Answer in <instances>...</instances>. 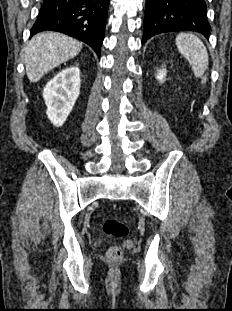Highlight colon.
<instances>
[{"instance_id":"obj_1","label":"colon","mask_w":232,"mask_h":311,"mask_svg":"<svg viewBox=\"0 0 232 311\" xmlns=\"http://www.w3.org/2000/svg\"><path fill=\"white\" fill-rule=\"evenodd\" d=\"M102 229L106 235L116 238L125 237L129 233L128 226L124 222L114 218L105 219ZM123 255L124 252L120 246L110 247L106 252L107 258L111 261H119L123 258Z\"/></svg>"}]
</instances>
